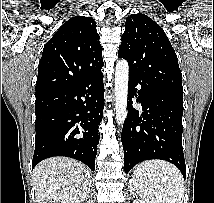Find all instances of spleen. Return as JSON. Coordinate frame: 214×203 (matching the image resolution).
Returning a JSON list of instances; mask_svg holds the SVG:
<instances>
[{
	"instance_id": "spleen-1",
	"label": "spleen",
	"mask_w": 214,
	"mask_h": 203,
	"mask_svg": "<svg viewBox=\"0 0 214 203\" xmlns=\"http://www.w3.org/2000/svg\"><path fill=\"white\" fill-rule=\"evenodd\" d=\"M131 181L145 203H183V176L168 162L152 160L138 164Z\"/></svg>"
}]
</instances>
